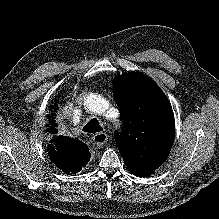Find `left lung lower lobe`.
I'll return each instance as SVG.
<instances>
[{
  "instance_id": "1",
  "label": "left lung lower lobe",
  "mask_w": 219,
  "mask_h": 219,
  "mask_svg": "<svg viewBox=\"0 0 219 219\" xmlns=\"http://www.w3.org/2000/svg\"><path fill=\"white\" fill-rule=\"evenodd\" d=\"M155 170H139V171H131L136 176H149L151 175Z\"/></svg>"
}]
</instances>
